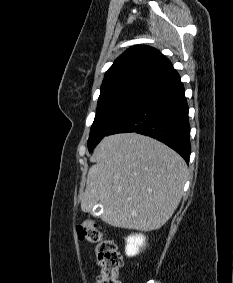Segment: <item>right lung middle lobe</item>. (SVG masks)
<instances>
[{
    "label": "right lung middle lobe",
    "mask_w": 233,
    "mask_h": 283,
    "mask_svg": "<svg viewBox=\"0 0 233 283\" xmlns=\"http://www.w3.org/2000/svg\"><path fill=\"white\" fill-rule=\"evenodd\" d=\"M149 83L150 81L147 80H131L101 90L96 116L87 143L89 152L95 148L104 136H107L112 126L127 111Z\"/></svg>",
    "instance_id": "obj_1"
}]
</instances>
